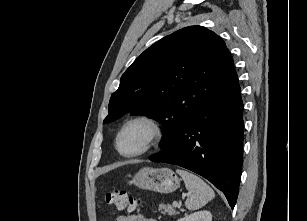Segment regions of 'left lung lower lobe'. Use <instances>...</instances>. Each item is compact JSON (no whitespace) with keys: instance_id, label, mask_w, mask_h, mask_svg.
<instances>
[{"instance_id":"1","label":"left lung lower lobe","mask_w":307,"mask_h":221,"mask_svg":"<svg viewBox=\"0 0 307 221\" xmlns=\"http://www.w3.org/2000/svg\"><path fill=\"white\" fill-rule=\"evenodd\" d=\"M150 160L201 175L221 190L234 208L243 163V102L237 74L194 111Z\"/></svg>"}]
</instances>
